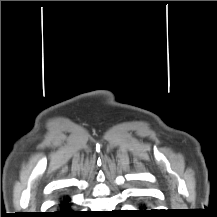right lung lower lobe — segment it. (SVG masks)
<instances>
[{
	"label": "right lung lower lobe",
	"mask_w": 217,
	"mask_h": 217,
	"mask_svg": "<svg viewBox=\"0 0 217 217\" xmlns=\"http://www.w3.org/2000/svg\"><path fill=\"white\" fill-rule=\"evenodd\" d=\"M69 197H63L60 200V211L58 212H53L47 215L48 217H82V214H80L77 211L71 210L70 206L71 203Z\"/></svg>",
	"instance_id": "obj_1"
}]
</instances>
